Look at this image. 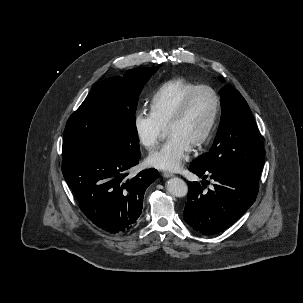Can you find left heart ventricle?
<instances>
[{
	"label": "left heart ventricle",
	"mask_w": 303,
	"mask_h": 303,
	"mask_svg": "<svg viewBox=\"0 0 303 303\" xmlns=\"http://www.w3.org/2000/svg\"><path fill=\"white\" fill-rule=\"evenodd\" d=\"M215 100L207 91H199L192 99L184 117L167 128L169 134H179L192 146L206 130L214 112Z\"/></svg>",
	"instance_id": "obj_1"
}]
</instances>
